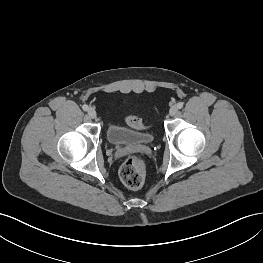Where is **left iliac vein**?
<instances>
[{
    "mask_svg": "<svg viewBox=\"0 0 263 263\" xmlns=\"http://www.w3.org/2000/svg\"><path fill=\"white\" fill-rule=\"evenodd\" d=\"M177 112H178L177 106H172V107L170 108V110H169V114H170L171 116H175V115L177 114Z\"/></svg>",
    "mask_w": 263,
    "mask_h": 263,
    "instance_id": "left-iliac-vein-1",
    "label": "left iliac vein"
}]
</instances>
